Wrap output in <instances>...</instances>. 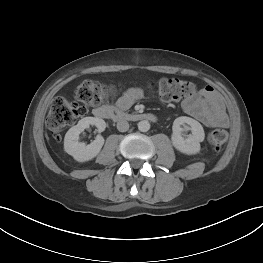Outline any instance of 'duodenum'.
Masks as SVG:
<instances>
[{
	"label": "duodenum",
	"mask_w": 263,
	"mask_h": 263,
	"mask_svg": "<svg viewBox=\"0 0 263 263\" xmlns=\"http://www.w3.org/2000/svg\"><path fill=\"white\" fill-rule=\"evenodd\" d=\"M94 115L102 119L114 121H155L156 116L151 113H126L118 108L101 106L94 110Z\"/></svg>",
	"instance_id": "1"
}]
</instances>
